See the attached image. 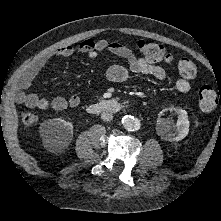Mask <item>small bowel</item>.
Returning <instances> with one entry per match:
<instances>
[{"label": "small bowel", "instance_id": "obj_1", "mask_svg": "<svg viewBox=\"0 0 221 221\" xmlns=\"http://www.w3.org/2000/svg\"><path fill=\"white\" fill-rule=\"evenodd\" d=\"M78 51L94 59L103 52H109L123 58L127 66L113 65L107 72V79L114 83H123L127 81L131 74H143L152 76L158 80L166 79V71L157 64L150 63L145 58L137 57L131 49L119 41H109L107 39H86L80 43L76 49L72 45H63L55 50L44 53L35 59L26 70L19 76L17 82L16 100L25 104L29 108L39 110L53 109L61 111L67 107L75 108L80 104L78 95H71L69 98L56 96L53 99L39 96L36 93H28L25 90L30 86L36 74L53 58H69ZM174 86L181 93H188L191 90V84L185 79H178Z\"/></svg>", "mask_w": 221, "mask_h": 221}]
</instances>
